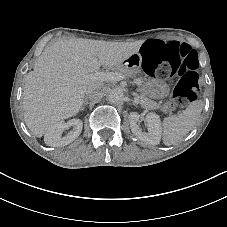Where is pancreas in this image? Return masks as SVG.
Returning <instances> with one entry per match:
<instances>
[{
	"instance_id": "obj_1",
	"label": "pancreas",
	"mask_w": 227,
	"mask_h": 227,
	"mask_svg": "<svg viewBox=\"0 0 227 227\" xmlns=\"http://www.w3.org/2000/svg\"><path fill=\"white\" fill-rule=\"evenodd\" d=\"M116 71L119 72V73H122L123 75H125V77H133V74L128 73L125 69L120 68L119 66L116 67ZM135 82L138 84V86H142L143 81H142L141 78H137L135 80ZM138 91L140 92L141 88H139ZM139 98H140V101H141V106L143 108L156 109L158 107V104L155 101L149 99L143 93L140 94Z\"/></svg>"
}]
</instances>
